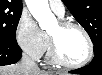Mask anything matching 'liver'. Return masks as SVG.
Here are the masks:
<instances>
[{
    "instance_id": "liver-1",
    "label": "liver",
    "mask_w": 102,
    "mask_h": 75,
    "mask_svg": "<svg viewBox=\"0 0 102 75\" xmlns=\"http://www.w3.org/2000/svg\"><path fill=\"white\" fill-rule=\"evenodd\" d=\"M0 75H53L43 70H31L22 66L21 63L3 66L0 68Z\"/></svg>"
}]
</instances>
